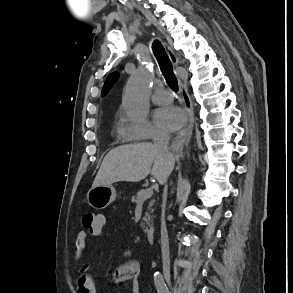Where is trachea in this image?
<instances>
[{"mask_svg": "<svg viewBox=\"0 0 293 293\" xmlns=\"http://www.w3.org/2000/svg\"><path fill=\"white\" fill-rule=\"evenodd\" d=\"M152 49L158 61V64L160 66L161 72L163 76L165 77L166 83L173 91H177L178 90L177 78L173 72L172 63L163 45L158 40H155L153 42Z\"/></svg>", "mask_w": 293, "mask_h": 293, "instance_id": "obj_1", "label": "trachea"}]
</instances>
